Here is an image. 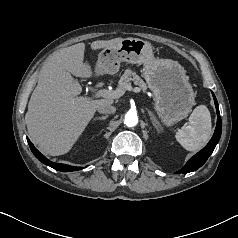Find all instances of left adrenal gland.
<instances>
[{"instance_id": "1", "label": "left adrenal gland", "mask_w": 238, "mask_h": 238, "mask_svg": "<svg viewBox=\"0 0 238 238\" xmlns=\"http://www.w3.org/2000/svg\"><path fill=\"white\" fill-rule=\"evenodd\" d=\"M149 116H150V119H151V122L153 124V126L156 128V130L158 132H160V129H159V122L157 120V118L155 117V115L153 114V112H151L150 110H147Z\"/></svg>"}]
</instances>
